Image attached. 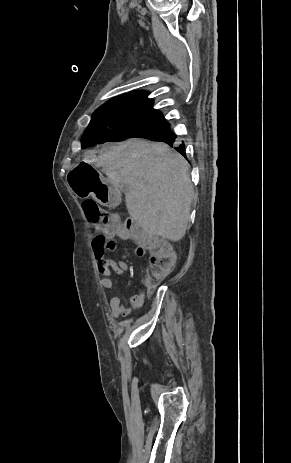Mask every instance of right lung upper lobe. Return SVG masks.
Wrapping results in <instances>:
<instances>
[{"label": "right lung upper lobe", "mask_w": 291, "mask_h": 463, "mask_svg": "<svg viewBox=\"0 0 291 463\" xmlns=\"http://www.w3.org/2000/svg\"><path fill=\"white\" fill-rule=\"evenodd\" d=\"M152 105L153 100L147 98V93L145 91H136L115 97L97 110L111 114L148 116L163 119L162 114L155 111Z\"/></svg>", "instance_id": "obj_1"}]
</instances>
